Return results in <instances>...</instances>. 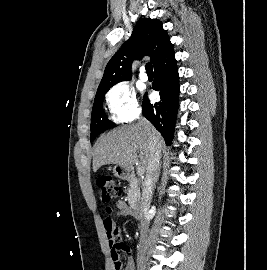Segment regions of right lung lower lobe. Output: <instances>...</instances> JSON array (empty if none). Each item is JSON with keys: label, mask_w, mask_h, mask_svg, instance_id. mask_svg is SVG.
I'll list each match as a JSON object with an SVG mask.
<instances>
[{"label": "right lung lower lobe", "mask_w": 267, "mask_h": 270, "mask_svg": "<svg viewBox=\"0 0 267 270\" xmlns=\"http://www.w3.org/2000/svg\"><path fill=\"white\" fill-rule=\"evenodd\" d=\"M152 89L160 92L161 101L151 104L145 96L142 111L144 116L162 134L167 145L171 144L178 110L179 76L171 46L154 66Z\"/></svg>", "instance_id": "1"}]
</instances>
